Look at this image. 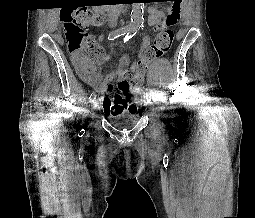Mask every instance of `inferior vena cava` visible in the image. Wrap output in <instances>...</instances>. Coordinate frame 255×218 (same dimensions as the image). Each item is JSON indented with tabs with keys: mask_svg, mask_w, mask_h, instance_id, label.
Listing matches in <instances>:
<instances>
[{
	"mask_svg": "<svg viewBox=\"0 0 255 218\" xmlns=\"http://www.w3.org/2000/svg\"><path fill=\"white\" fill-rule=\"evenodd\" d=\"M117 21H118V16L113 14L111 16H109V23L111 26H116L117 25Z\"/></svg>",
	"mask_w": 255,
	"mask_h": 218,
	"instance_id": "obj_1",
	"label": "inferior vena cava"
}]
</instances>
